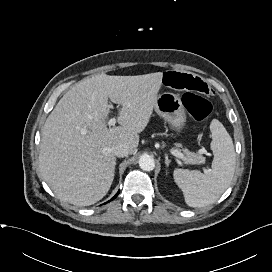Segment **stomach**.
I'll use <instances>...</instances> for the list:
<instances>
[{
    "label": "stomach",
    "instance_id": "stomach-1",
    "mask_svg": "<svg viewBox=\"0 0 272 272\" xmlns=\"http://www.w3.org/2000/svg\"><path fill=\"white\" fill-rule=\"evenodd\" d=\"M155 111L177 131L185 126L186 112L178 95L170 92L158 96Z\"/></svg>",
    "mask_w": 272,
    "mask_h": 272
}]
</instances>
